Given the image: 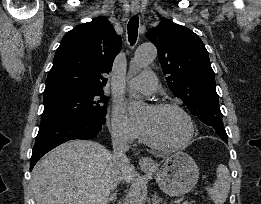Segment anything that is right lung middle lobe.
Wrapping results in <instances>:
<instances>
[{
    "mask_svg": "<svg viewBox=\"0 0 261 204\" xmlns=\"http://www.w3.org/2000/svg\"><path fill=\"white\" fill-rule=\"evenodd\" d=\"M41 120L64 115H92L105 118L107 98L103 90H62L44 94Z\"/></svg>",
    "mask_w": 261,
    "mask_h": 204,
    "instance_id": "obj_1",
    "label": "right lung middle lobe"
}]
</instances>
